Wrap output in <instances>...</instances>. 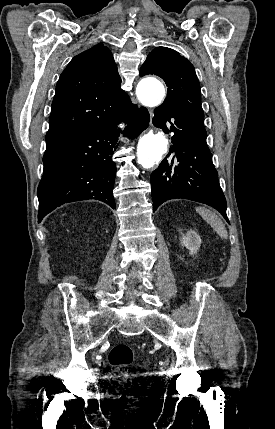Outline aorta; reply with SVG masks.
I'll use <instances>...</instances> for the list:
<instances>
[{
  "mask_svg": "<svg viewBox=\"0 0 275 429\" xmlns=\"http://www.w3.org/2000/svg\"><path fill=\"white\" fill-rule=\"evenodd\" d=\"M137 96L140 102L149 107L158 106L165 96V88L155 78H145L137 87ZM168 140L163 132L149 131L140 137L137 145L138 162L143 167H152L162 159L166 153Z\"/></svg>",
  "mask_w": 275,
  "mask_h": 429,
  "instance_id": "aorta-1",
  "label": "aorta"
}]
</instances>
